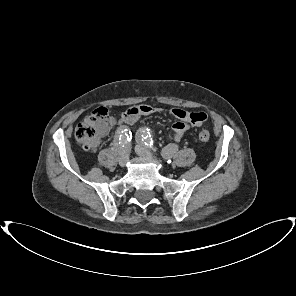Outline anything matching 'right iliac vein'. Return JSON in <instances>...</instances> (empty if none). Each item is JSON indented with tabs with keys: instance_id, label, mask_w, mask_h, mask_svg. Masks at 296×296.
Listing matches in <instances>:
<instances>
[{
	"instance_id": "1",
	"label": "right iliac vein",
	"mask_w": 296,
	"mask_h": 296,
	"mask_svg": "<svg viewBox=\"0 0 296 296\" xmlns=\"http://www.w3.org/2000/svg\"><path fill=\"white\" fill-rule=\"evenodd\" d=\"M128 161H129V154H128L127 150H124V152L119 157V160H118L119 165L121 167H124Z\"/></svg>"
}]
</instances>
